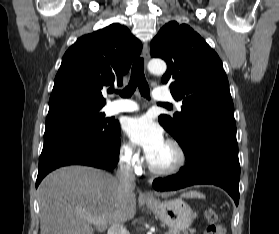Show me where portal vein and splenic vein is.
I'll use <instances>...</instances> for the list:
<instances>
[{
    "instance_id": "18ae733b",
    "label": "portal vein and splenic vein",
    "mask_w": 279,
    "mask_h": 234,
    "mask_svg": "<svg viewBox=\"0 0 279 234\" xmlns=\"http://www.w3.org/2000/svg\"><path fill=\"white\" fill-rule=\"evenodd\" d=\"M85 218L87 219V221L91 224H95V225H102L104 224V220L100 217H95L92 215H85Z\"/></svg>"
}]
</instances>
